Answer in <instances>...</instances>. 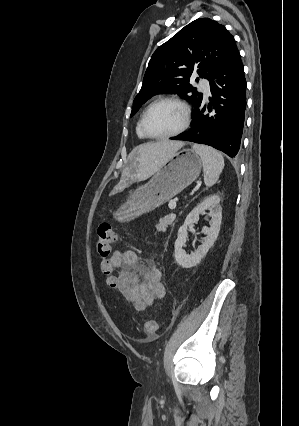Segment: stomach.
Instances as JSON below:
<instances>
[{
	"instance_id": "obj_1",
	"label": "stomach",
	"mask_w": 299,
	"mask_h": 426,
	"mask_svg": "<svg viewBox=\"0 0 299 426\" xmlns=\"http://www.w3.org/2000/svg\"><path fill=\"white\" fill-rule=\"evenodd\" d=\"M202 160L192 149L176 152L144 186L133 191L113 214L119 222H128L164 204L197 179Z\"/></svg>"
}]
</instances>
